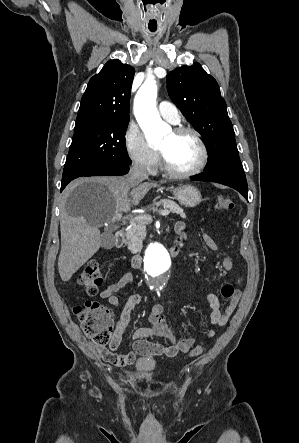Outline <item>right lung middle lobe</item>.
I'll list each match as a JSON object with an SVG mask.
<instances>
[{
	"instance_id": "obj_1",
	"label": "right lung middle lobe",
	"mask_w": 299,
	"mask_h": 443,
	"mask_svg": "<svg viewBox=\"0 0 299 443\" xmlns=\"http://www.w3.org/2000/svg\"><path fill=\"white\" fill-rule=\"evenodd\" d=\"M128 123L129 120H106L74 129L62 183L102 166L131 164L125 147Z\"/></svg>"
}]
</instances>
